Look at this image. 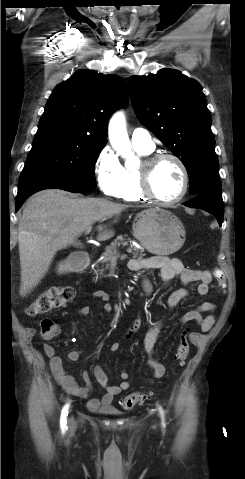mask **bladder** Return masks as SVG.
Masks as SVG:
<instances>
[{"instance_id":"bladder-1","label":"bladder","mask_w":245,"mask_h":479,"mask_svg":"<svg viewBox=\"0 0 245 479\" xmlns=\"http://www.w3.org/2000/svg\"><path fill=\"white\" fill-rule=\"evenodd\" d=\"M109 413L115 414V415H119V414H120L119 412H116V411H110Z\"/></svg>"}]
</instances>
